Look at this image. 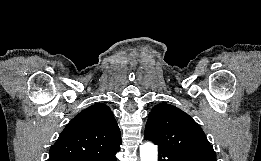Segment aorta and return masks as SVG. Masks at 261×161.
<instances>
[{"mask_svg":"<svg viewBox=\"0 0 261 161\" xmlns=\"http://www.w3.org/2000/svg\"><path fill=\"white\" fill-rule=\"evenodd\" d=\"M140 158L141 161H157L158 148L151 142H145L140 145Z\"/></svg>","mask_w":261,"mask_h":161,"instance_id":"obj_1","label":"aorta"}]
</instances>
